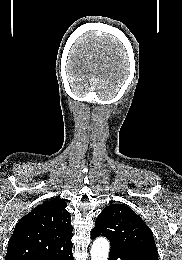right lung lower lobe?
<instances>
[{"mask_svg": "<svg viewBox=\"0 0 182 260\" xmlns=\"http://www.w3.org/2000/svg\"><path fill=\"white\" fill-rule=\"evenodd\" d=\"M37 260H74V258L72 255V248H70L68 250L57 252L53 255L39 258Z\"/></svg>", "mask_w": 182, "mask_h": 260, "instance_id": "98d812e1", "label": "right lung lower lobe"}]
</instances>
